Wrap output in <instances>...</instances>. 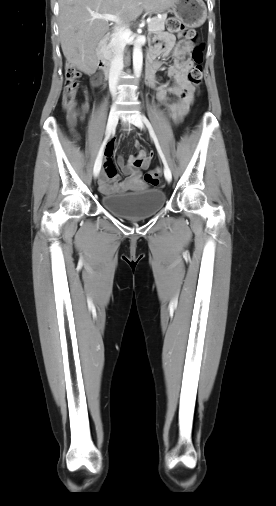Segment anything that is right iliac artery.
I'll use <instances>...</instances> for the list:
<instances>
[{
    "mask_svg": "<svg viewBox=\"0 0 276 506\" xmlns=\"http://www.w3.org/2000/svg\"><path fill=\"white\" fill-rule=\"evenodd\" d=\"M109 136H110V134H109V135L105 138V140L103 141V144H102V146H101V148H100V151H99V155H98V156L102 155V152H103V150H104V147H105V145H106V142H107V140H108ZM100 168H101V162H96V163H95V165H94V173H95V171H98V172H99V171H100Z\"/></svg>",
    "mask_w": 276,
    "mask_h": 506,
    "instance_id": "82829eb1",
    "label": "right iliac artery"
}]
</instances>
